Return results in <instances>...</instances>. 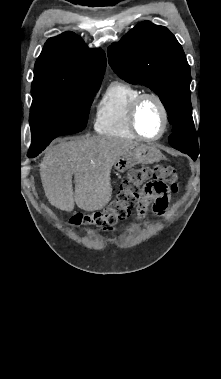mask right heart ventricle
Here are the masks:
<instances>
[{
  "label": "right heart ventricle",
  "instance_id": "obj_1",
  "mask_svg": "<svg viewBox=\"0 0 221 379\" xmlns=\"http://www.w3.org/2000/svg\"><path fill=\"white\" fill-rule=\"evenodd\" d=\"M141 93L139 88L130 83H111L98 105L94 121L95 131L106 136L137 138L130 128L128 113L130 104Z\"/></svg>",
  "mask_w": 221,
  "mask_h": 379
}]
</instances>
